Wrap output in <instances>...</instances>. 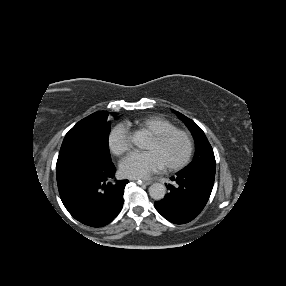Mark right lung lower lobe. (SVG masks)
Segmentation results:
<instances>
[{
  "label": "right lung lower lobe",
  "mask_w": 286,
  "mask_h": 286,
  "mask_svg": "<svg viewBox=\"0 0 286 286\" xmlns=\"http://www.w3.org/2000/svg\"><path fill=\"white\" fill-rule=\"evenodd\" d=\"M114 174L112 162L81 160L57 167L58 190L68 212L91 227L111 222L122 209L128 183L114 181Z\"/></svg>",
  "instance_id": "98d812e1"
}]
</instances>
